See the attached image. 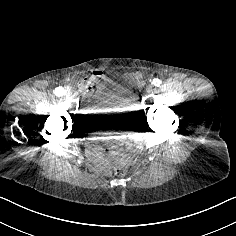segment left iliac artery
<instances>
[{"label":"left iliac artery","instance_id":"1","mask_svg":"<svg viewBox=\"0 0 236 236\" xmlns=\"http://www.w3.org/2000/svg\"><path fill=\"white\" fill-rule=\"evenodd\" d=\"M161 83H162L161 80H159L158 78H154L151 84H153L154 86L159 87Z\"/></svg>","mask_w":236,"mask_h":236}]
</instances>
